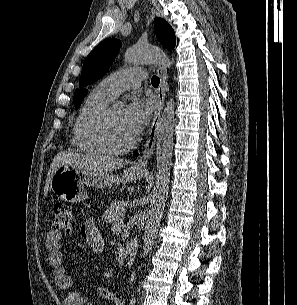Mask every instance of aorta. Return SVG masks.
Returning <instances> with one entry per match:
<instances>
[{"label": "aorta", "mask_w": 297, "mask_h": 305, "mask_svg": "<svg viewBox=\"0 0 297 305\" xmlns=\"http://www.w3.org/2000/svg\"><path fill=\"white\" fill-rule=\"evenodd\" d=\"M125 60L131 64H162L168 68L171 66L170 60L163 51L149 45H135L130 47L125 52ZM174 107V99L170 98L157 124V174L150 206L146 214V225L143 237V258L152 250L168 196L173 150Z\"/></svg>", "instance_id": "1"}]
</instances>
